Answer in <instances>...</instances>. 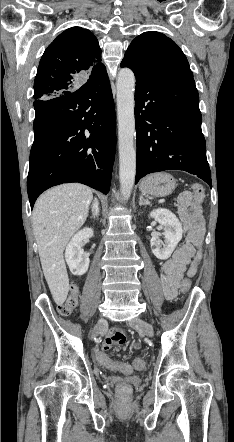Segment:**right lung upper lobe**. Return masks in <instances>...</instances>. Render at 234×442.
Masks as SVG:
<instances>
[{"instance_id":"1","label":"right lung upper lobe","mask_w":234,"mask_h":442,"mask_svg":"<svg viewBox=\"0 0 234 442\" xmlns=\"http://www.w3.org/2000/svg\"><path fill=\"white\" fill-rule=\"evenodd\" d=\"M104 73L106 68L94 34L81 27L69 28L45 50L34 81V98L70 94L79 89L80 78L88 77L89 81Z\"/></svg>"}]
</instances>
